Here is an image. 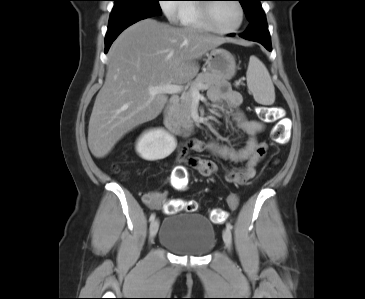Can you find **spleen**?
<instances>
[{
    "instance_id": "3e777b00",
    "label": "spleen",
    "mask_w": 365,
    "mask_h": 299,
    "mask_svg": "<svg viewBox=\"0 0 365 299\" xmlns=\"http://www.w3.org/2000/svg\"><path fill=\"white\" fill-rule=\"evenodd\" d=\"M248 89L255 101L262 105H272L275 101V89L265 65L254 55L249 59L246 73Z\"/></svg>"
}]
</instances>
